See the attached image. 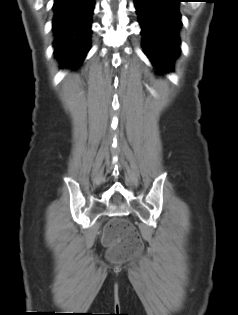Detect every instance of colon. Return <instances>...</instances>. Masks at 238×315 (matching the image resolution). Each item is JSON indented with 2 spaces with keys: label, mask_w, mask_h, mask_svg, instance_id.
Here are the masks:
<instances>
[{
  "label": "colon",
  "mask_w": 238,
  "mask_h": 315,
  "mask_svg": "<svg viewBox=\"0 0 238 315\" xmlns=\"http://www.w3.org/2000/svg\"><path fill=\"white\" fill-rule=\"evenodd\" d=\"M103 241L111 247V255L117 260L132 257L141 249L136 228L125 219L111 220L105 228Z\"/></svg>",
  "instance_id": "1"
}]
</instances>
